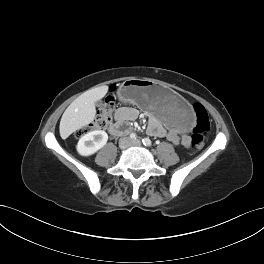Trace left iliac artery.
I'll list each match as a JSON object with an SVG mask.
<instances>
[{"instance_id":"44dca946","label":"left iliac artery","mask_w":264,"mask_h":264,"mask_svg":"<svg viewBox=\"0 0 264 264\" xmlns=\"http://www.w3.org/2000/svg\"><path fill=\"white\" fill-rule=\"evenodd\" d=\"M142 142L145 146H148V147H150L152 145V142L149 138L142 139Z\"/></svg>"}]
</instances>
